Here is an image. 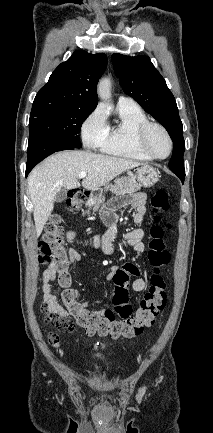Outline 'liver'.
Segmentation results:
<instances>
[{
	"mask_svg": "<svg viewBox=\"0 0 213 433\" xmlns=\"http://www.w3.org/2000/svg\"><path fill=\"white\" fill-rule=\"evenodd\" d=\"M141 163L89 151L58 152L37 165L28 176V191L34 207L36 235L39 237L50 217L57 192L63 187H80L78 174L86 172L83 188L94 191Z\"/></svg>",
	"mask_w": 213,
	"mask_h": 433,
	"instance_id": "liver-1",
	"label": "liver"
}]
</instances>
